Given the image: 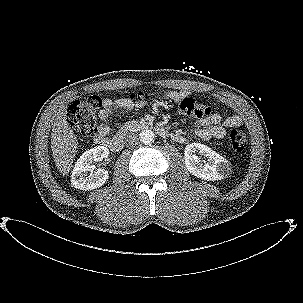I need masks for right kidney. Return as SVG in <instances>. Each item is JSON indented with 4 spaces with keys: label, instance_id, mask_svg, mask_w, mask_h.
<instances>
[{
    "label": "right kidney",
    "instance_id": "obj_1",
    "mask_svg": "<svg viewBox=\"0 0 303 303\" xmlns=\"http://www.w3.org/2000/svg\"><path fill=\"white\" fill-rule=\"evenodd\" d=\"M108 155L109 150L104 146H96L84 152L77 160L72 171V186L81 190H92L101 187L108 180V171L105 169L94 171L95 165L92 163L101 161Z\"/></svg>",
    "mask_w": 303,
    "mask_h": 303
}]
</instances>
